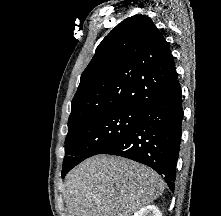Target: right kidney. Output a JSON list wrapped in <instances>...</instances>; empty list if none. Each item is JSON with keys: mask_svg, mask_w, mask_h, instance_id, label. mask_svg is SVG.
I'll return each mask as SVG.
<instances>
[{"mask_svg": "<svg viewBox=\"0 0 221 216\" xmlns=\"http://www.w3.org/2000/svg\"><path fill=\"white\" fill-rule=\"evenodd\" d=\"M133 216H162V214L155 205H148L134 213Z\"/></svg>", "mask_w": 221, "mask_h": 216, "instance_id": "1", "label": "right kidney"}]
</instances>
